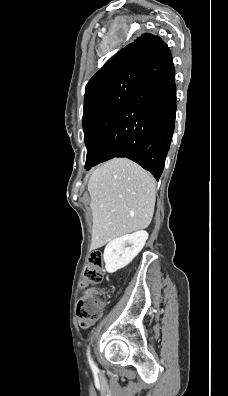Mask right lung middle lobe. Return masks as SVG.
Returning <instances> with one entry per match:
<instances>
[{
    "label": "right lung middle lobe",
    "instance_id": "dd1d6c3e",
    "mask_svg": "<svg viewBox=\"0 0 228 396\" xmlns=\"http://www.w3.org/2000/svg\"><path fill=\"white\" fill-rule=\"evenodd\" d=\"M142 73L143 70H135L109 79L85 96L83 129L87 147V170L93 167L116 116Z\"/></svg>",
    "mask_w": 228,
    "mask_h": 396
}]
</instances>
